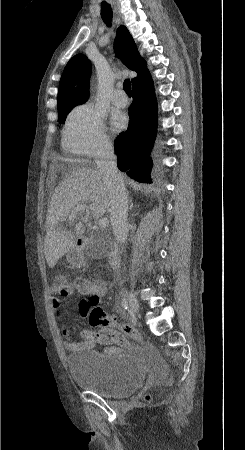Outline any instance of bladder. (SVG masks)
<instances>
[{
    "label": "bladder",
    "mask_w": 245,
    "mask_h": 450,
    "mask_svg": "<svg viewBox=\"0 0 245 450\" xmlns=\"http://www.w3.org/2000/svg\"><path fill=\"white\" fill-rule=\"evenodd\" d=\"M66 364L77 386L103 398L128 397L145 383L144 368L133 354L76 353Z\"/></svg>",
    "instance_id": "1"
}]
</instances>
